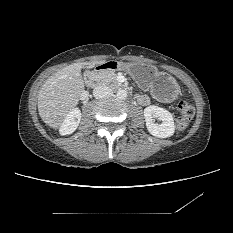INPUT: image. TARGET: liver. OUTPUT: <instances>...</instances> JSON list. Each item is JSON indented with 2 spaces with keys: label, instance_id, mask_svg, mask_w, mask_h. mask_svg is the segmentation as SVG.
<instances>
[{
  "label": "liver",
  "instance_id": "1",
  "mask_svg": "<svg viewBox=\"0 0 233 233\" xmlns=\"http://www.w3.org/2000/svg\"><path fill=\"white\" fill-rule=\"evenodd\" d=\"M104 60L95 64H103ZM87 63H74L57 71L42 85L38 94V112L43 122L59 128L70 111L78 104L84 91L81 69Z\"/></svg>",
  "mask_w": 233,
  "mask_h": 233
}]
</instances>
